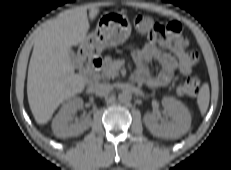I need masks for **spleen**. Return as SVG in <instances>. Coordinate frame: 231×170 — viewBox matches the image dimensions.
<instances>
[{"instance_id":"1","label":"spleen","mask_w":231,"mask_h":170,"mask_svg":"<svg viewBox=\"0 0 231 170\" xmlns=\"http://www.w3.org/2000/svg\"><path fill=\"white\" fill-rule=\"evenodd\" d=\"M210 91L207 83L203 84L197 96V105L202 115H204L209 106Z\"/></svg>"}]
</instances>
